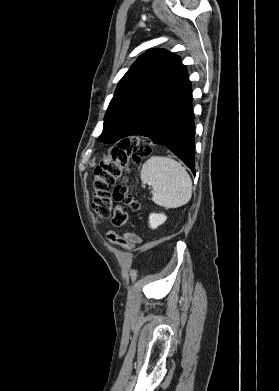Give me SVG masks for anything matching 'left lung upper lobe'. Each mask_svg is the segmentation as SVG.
<instances>
[{
    "label": "left lung upper lobe",
    "mask_w": 279,
    "mask_h": 391,
    "mask_svg": "<svg viewBox=\"0 0 279 391\" xmlns=\"http://www.w3.org/2000/svg\"><path fill=\"white\" fill-rule=\"evenodd\" d=\"M181 59L163 49L141 55L120 80L99 139L112 143L137 134L190 87Z\"/></svg>",
    "instance_id": "1"
}]
</instances>
